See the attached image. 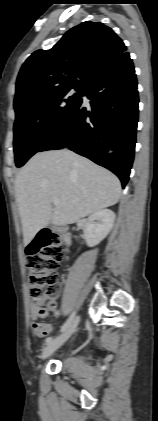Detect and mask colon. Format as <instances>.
<instances>
[{"instance_id": "5ec220e1", "label": "colon", "mask_w": 158, "mask_h": 421, "mask_svg": "<svg viewBox=\"0 0 158 421\" xmlns=\"http://www.w3.org/2000/svg\"><path fill=\"white\" fill-rule=\"evenodd\" d=\"M64 256L59 240L51 234H40L26 251L29 293L41 314L53 311V298L59 290L57 268Z\"/></svg>"}]
</instances>
